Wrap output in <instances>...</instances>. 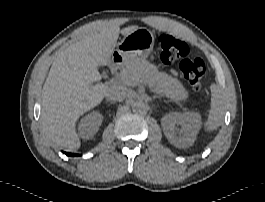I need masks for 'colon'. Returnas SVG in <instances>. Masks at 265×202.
<instances>
[{
	"mask_svg": "<svg viewBox=\"0 0 265 202\" xmlns=\"http://www.w3.org/2000/svg\"><path fill=\"white\" fill-rule=\"evenodd\" d=\"M158 45L162 61L165 63L178 61L187 82L195 91L201 92V82L206 76L204 61L201 58H190L189 46L168 33L159 36Z\"/></svg>",
	"mask_w": 265,
	"mask_h": 202,
	"instance_id": "1",
	"label": "colon"
}]
</instances>
